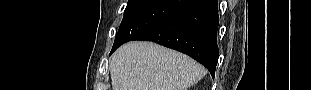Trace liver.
I'll return each mask as SVG.
<instances>
[{
	"label": "liver",
	"mask_w": 311,
	"mask_h": 90,
	"mask_svg": "<svg viewBox=\"0 0 311 90\" xmlns=\"http://www.w3.org/2000/svg\"><path fill=\"white\" fill-rule=\"evenodd\" d=\"M205 69L180 52L152 42H129L112 55L113 90H187Z\"/></svg>",
	"instance_id": "liver-1"
}]
</instances>
